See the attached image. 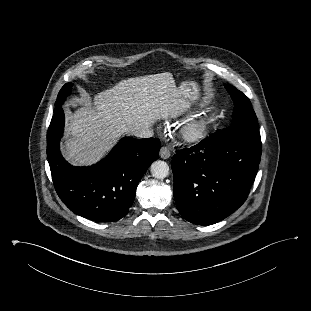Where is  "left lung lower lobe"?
Returning a JSON list of instances; mask_svg holds the SVG:
<instances>
[{
	"instance_id": "obj_1",
	"label": "left lung lower lobe",
	"mask_w": 311,
	"mask_h": 311,
	"mask_svg": "<svg viewBox=\"0 0 311 311\" xmlns=\"http://www.w3.org/2000/svg\"><path fill=\"white\" fill-rule=\"evenodd\" d=\"M261 148L258 130L229 126L191 148L177 150L171 167L182 217L210 225L236 211L255 180Z\"/></svg>"
}]
</instances>
